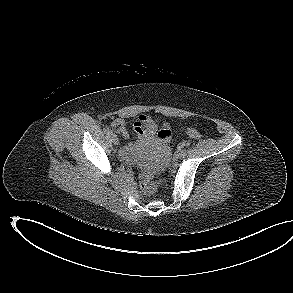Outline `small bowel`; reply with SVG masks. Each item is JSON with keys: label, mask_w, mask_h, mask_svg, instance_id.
<instances>
[{"label": "small bowel", "mask_w": 293, "mask_h": 293, "mask_svg": "<svg viewBox=\"0 0 293 293\" xmlns=\"http://www.w3.org/2000/svg\"><path fill=\"white\" fill-rule=\"evenodd\" d=\"M111 125L123 137L128 136V124L124 119L117 118L112 121ZM158 127L157 122L147 115L139 116L133 123L134 132L140 140L151 138L157 132Z\"/></svg>", "instance_id": "small-bowel-1"}]
</instances>
